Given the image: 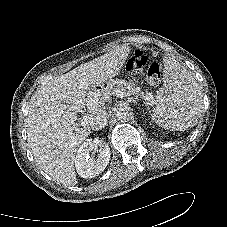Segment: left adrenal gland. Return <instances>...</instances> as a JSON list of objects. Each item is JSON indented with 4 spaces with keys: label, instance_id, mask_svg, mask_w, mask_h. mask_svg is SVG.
<instances>
[{
    "label": "left adrenal gland",
    "instance_id": "1",
    "mask_svg": "<svg viewBox=\"0 0 227 227\" xmlns=\"http://www.w3.org/2000/svg\"><path fill=\"white\" fill-rule=\"evenodd\" d=\"M130 102L132 101L134 104L136 103L137 104V97L136 98H130L128 99Z\"/></svg>",
    "mask_w": 227,
    "mask_h": 227
}]
</instances>
